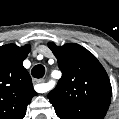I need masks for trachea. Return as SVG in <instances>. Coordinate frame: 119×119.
Instances as JSON below:
<instances>
[{
    "label": "trachea",
    "instance_id": "1",
    "mask_svg": "<svg viewBox=\"0 0 119 119\" xmlns=\"http://www.w3.org/2000/svg\"><path fill=\"white\" fill-rule=\"evenodd\" d=\"M31 74L34 78H42L45 74V67L41 64H38L32 68Z\"/></svg>",
    "mask_w": 119,
    "mask_h": 119
}]
</instances>
